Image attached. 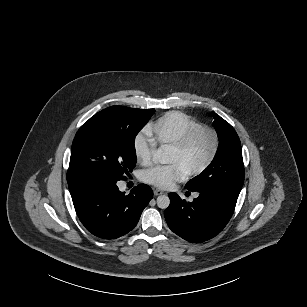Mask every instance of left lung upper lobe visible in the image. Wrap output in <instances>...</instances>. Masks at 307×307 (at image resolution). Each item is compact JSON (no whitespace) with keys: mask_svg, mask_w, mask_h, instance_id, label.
I'll return each mask as SVG.
<instances>
[{"mask_svg":"<svg viewBox=\"0 0 307 307\" xmlns=\"http://www.w3.org/2000/svg\"><path fill=\"white\" fill-rule=\"evenodd\" d=\"M214 125L219 146L211 164L187 182L189 191L220 192L238 198L244 182V164L239 137L234 128L216 113Z\"/></svg>","mask_w":307,"mask_h":307,"instance_id":"left-lung-upper-lobe-1","label":"left lung upper lobe"}]
</instances>
